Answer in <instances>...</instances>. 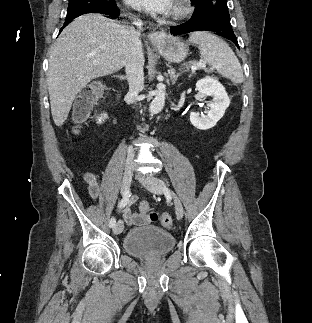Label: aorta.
<instances>
[{"mask_svg":"<svg viewBox=\"0 0 312 323\" xmlns=\"http://www.w3.org/2000/svg\"><path fill=\"white\" fill-rule=\"evenodd\" d=\"M165 96L166 92L164 84H158L157 90L155 92V98L154 100H152L149 108L152 114H158V112H161V110H163V106L165 104Z\"/></svg>","mask_w":312,"mask_h":323,"instance_id":"aorta-1","label":"aorta"}]
</instances>
